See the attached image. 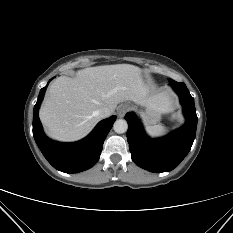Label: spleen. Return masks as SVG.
I'll return each mask as SVG.
<instances>
[{
	"label": "spleen",
	"mask_w": 233,
	"mask_h": 233,
	"mask_svg": "<svg viewBox=\"0 0 233 233\" xmlns=\"http://www.w3.org/2000/svg\"><path fill=\"white\" fill-rule=\"evenodd\" d=\"M147 133L152 137H160L166 134V127L162 125H151L146 127Z\"/></svg>",
	"instance_id": "obj_1"
}]
</instances>
